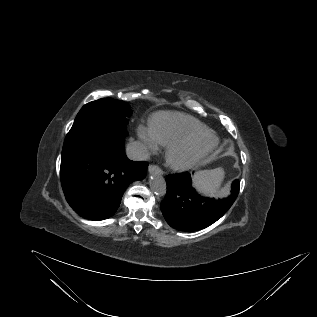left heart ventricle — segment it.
I'll use <instances>...</instances> for the list:
<instances>
[{
	"mask_svg": "<svg viewBox=\"0 0 317 317\" xmlns=\"http://www.w3.org/2000/svg\"><path fill=\"white\" fill-rule=\"evenodd\" d=\"M190 152H191V149H187V150L183 151V152L179 155V157H185V156H187Z\"/></svg>",
	"mask_w": 317,
	"mask_h": 317,
	"instance_id": "left-heart-ventricle-1",
	"label": "left heart ventricle"
}]
</instances>
